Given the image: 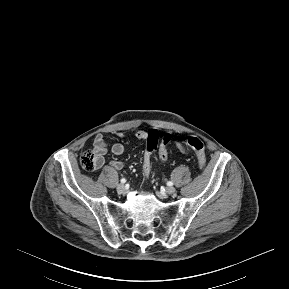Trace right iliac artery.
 Here are the masks:
<instances>
[{
    "label": "right iliac artery",
    "instance_id": "1",
    "mask_svg": "<svg viewBox=\"0 0 289 289\" xmlns=\"http://www.w3.org/2000/svg\"><path fill=\"white\" fill-rule=\"evenodd\" d=\"M120 182L123 184V183L126 182V179H125V178H122Z\"/></svg>",
    "mask_w": 289,
    "mask_h": 289
}]
</instances>
